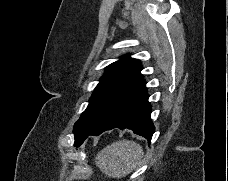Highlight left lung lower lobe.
Returning a JSON list of instances; mask_svg holds the SVG:
<instances>
[{
  "label": "left lung lower lobe",
  "instance_id": "0a47b994",
  "mask_svg": "<svg viewBox=\"0 0 228 181\" xmlns=\"http://www.w3.org/2000/svg\"><path fill=\"white\" fill-rule=\"evenodd\" d=\"M145 85L146 82L143 80L133 93L122 119L117 124L110 127L94 128L78 132L75 134L74 145L78 147L89 135L98 136L104 131L113 128L131 129L134 133L145 136L150 143L155 127L150 118L151 105L148 102L149 96Z\"/></svg>",
  "mask_w": 228,
  "mask_h": 181
}]
</instances>
